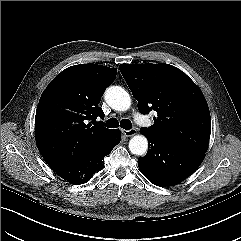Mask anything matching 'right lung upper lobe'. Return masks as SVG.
Instances as JSON below:
<instances>
[{
  "label": "right lung upper lobe",
  "mask_w": 241,
  "mask_h": 241,
  "mask_svg": "<svg viewBox=\"0 0 241 241\" xmlns=\"http://www.w3.org/2000/svg\"><path fill=\"white\" fill-rule=\"evenodd\" d=\"M116 73V68L97 64L74 65L46 87L36 110L35 138L49 166L75 160L112 135L115 129L96 125L95 120L104 118L98 104Z\"/></svg>",
  "instance_id": "right-lung-upper-lobe-1"
}]
</instances>
